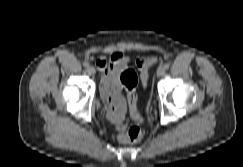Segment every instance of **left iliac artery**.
<instances>
[{
	"label": "left iliac artery",
	"instance_id": "left-iliac-artery-1",
	"mask_svg": "<svg viewBox=\"0 0 243 167\" xmlns=\"http://www.w3.org/2000/svg\"><path fill=\"white\" fill-rule=\"evenodd\" d=\"M169 67H170V64L169 63L164 64V68L165 69H169Z\"/></svg>",
	"mask_w": 243,
	"mask_h": 167
}]
</instances>
